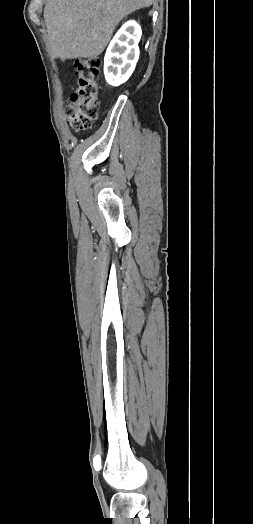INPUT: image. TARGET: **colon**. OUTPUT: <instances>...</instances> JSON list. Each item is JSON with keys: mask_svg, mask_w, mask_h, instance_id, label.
I'll return each instance as SVG.
<instances>
[{"mask_svg": "<svg viewBox=\"0 0 253 524\" xmlns=\"http://www.w3.org/2000/svg\"><path fill=\"white\" fill-rule=\"evenodd\" d=\"M100 64L98 58H83L74 65L78 81L68 99L65 113L71 127L77 131L90 128L96 119L99 104L97 76Z\"/></svg>", "mask_w": 253, "mask_h": 524, "instance_id": "5ec220e1", "label": "colon"}]
</instances>
